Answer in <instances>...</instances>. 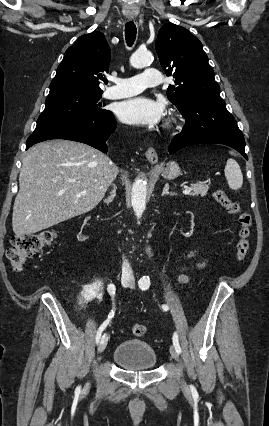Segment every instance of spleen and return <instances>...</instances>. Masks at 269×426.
Returning <instances> with one entry per match:
<instances>
[{"mask_svg": "<svg viewBox=\"0 0 269 426\" xmlns=\"http://www.w3.org/2000/svg\"><path fill=\"white\" fill-rule=\"evenodd\" d=\"M224 173L228 185L232 190L236 191L242 187L243 175L240 166L234 159L230 158L227 160Z\"/></svg>", "mask_w": 269, "mask_h": 426, "instance_id": "3e777b00", "label": "spleen"}]
</instances>
